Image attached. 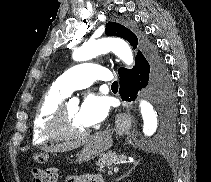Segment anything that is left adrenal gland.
Masks as SVG:
<instances>
[{
	"label": "left adrenal gland",
	"mask_w": 211,
	"mask_h": 182,
	"mask_svg": "<svg viewBox=\"0 0 211 182\" xmlns=\"http://www.w3.org/2000/svg\"><path fill=\"white\" fill-rule=\"evenodd\" d=\"M138 163H139V161L134 162V166L129 170V172H128L127 174L123 175L122 177H120L118 180H120V179L124 178L125 176L129 175V173H131V171H132L133 169H135V167L138 165ZM118 180H117V181H118Z\"/></svg>",
	"instance_id": "a2214340"
}]
</instances>
